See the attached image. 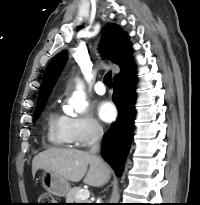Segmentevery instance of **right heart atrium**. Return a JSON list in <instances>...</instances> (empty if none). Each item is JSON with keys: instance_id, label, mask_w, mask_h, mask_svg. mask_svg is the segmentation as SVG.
<instances>
[{"instance_id": "obj_1", "label": "right heart atrium", "mask_w": 200, "mask_h": 205, "mask_svg": "<svg viewBox=\"0 0 200 205\" xmlns=\"http://www.w3.org/2000/svg\"><path fill=\"white\" fill-rule=\"evenodd\" d=\"M65 132L70 143L86 146L103 135L102 125L91 115H70L64 117Z\"/></svg>"}]
</instances>
